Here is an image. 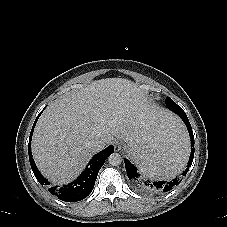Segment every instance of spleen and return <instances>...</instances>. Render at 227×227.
Wrapping results in <instances>:
<instances>
[{"mask_svg":"<svg viewBox=\"0 0 227 227\" xmlns=\"http://www.w3.org/2000/svg\"><path fill=\"white\" fill-rule=\"evenodd\" d=\"M125 141L128 158L150 177L173 178L188 159L189 141L183 121L166 108L128 130Z\"/></svg>","mask_w":227,"mask_h":227,"instance_id":"1","label":"spleen"}]
</instances>
